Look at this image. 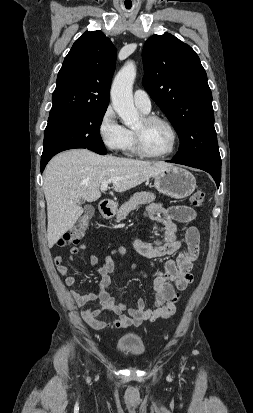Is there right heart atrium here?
<instances>
[{"label":"right heart atrium","mask_w":253,"mask_h":413,"mask_svg":"<svg viewBox=\"0 0 253 413\" xmlns=\"http://www.w3.org/2000/svg\"><path fill=\"white\" fill-rule=\"evenodd\" d=\"M98 135L102 143L111 151L126 150L130 132L118 120L112 106H107L98 122Z\"/></svg>","instance_id":"obj_1"}]
</instances>
